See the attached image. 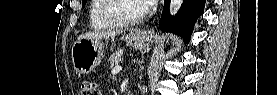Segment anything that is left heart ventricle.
I'll list each match as a JSON object with an SVG mask.
<instances>
[{
	"label": "left heart ventricle",
	"mask_w": 277,
	"mask_h": 95,
	"mask_svg": "<svg viewBox=\"0 0 277 95\" xmlns=\"http://www.w3.org/2000/svg\"><path fill=\"white\" fill-rule=\"evenodd\" d=\"M144 8L141 0H120L115 3L112 11L124 18H135L143 12Z\"/></svg>",
	"instance_id": "1"
}]
</instances>
